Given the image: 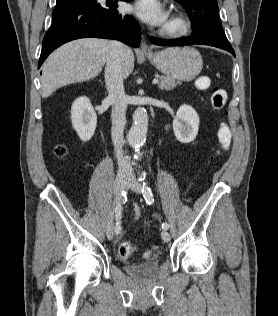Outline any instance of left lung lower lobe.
<instances>
[{
    "label": "left lung lower lobe",
    "mask_w": 278,
    "mask_h": 316,
    "mask_svg": "<svg viewBox=\"0 0 278 316\" xmlns=\"http://www.w3.org/2000/svg\"><path fill=\"white\" fill-rule=\"evenodd\" d=\"M152 43L156 44V45H160V46H184V45H191V44H204V45H210V46H214L217 48H221L224 49L228 52H230L233 56H235V52L232 49L231 46H227V45H222V44H218L215 42H210V41H206V40H202L199 38H195L193 36H189L186 38H181L178 40H162V39H158V38H154L151 37L150 38Z\"/></svg>",
    "instance_id": "1"
}]
</instances>
